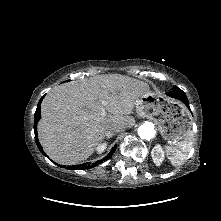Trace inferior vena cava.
<instances>
[{
  "instance_id": "602c4592",
  "label": "inferior vena cava",
  "mask_w": 221,
  "mask_h": 221,
  "mask_svg": "<svg viewBox=\"0 0 221 221\" xmlns=\"http://www.w3.org/2000/svg\"><path fill=\"white\" fill-rule=\"evenodd\" d=\"M124 129H125L124 126L116 125V124H110V125L106 126L105 132H106L107 135H110V134H114L116 132H120Z\"/></svg>"
}]
</instances>
